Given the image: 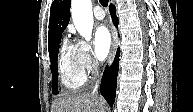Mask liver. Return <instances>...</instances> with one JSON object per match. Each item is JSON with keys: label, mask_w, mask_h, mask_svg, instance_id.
<instances>
[{"label": "liver", "mask_w": 193, "mask_h": 112, "mask_svg": "<svg viewBox=\"0 0 193 112\" xmlns=\"http://www.w3.org/2000/svg\"><path fill=\"white\" fill-rule=\"evenodd\" d=\"M52 112H105V101L97 94H80L59 98Z\"/></svg>", "instance_id": "liver-1"}]
</instances>
